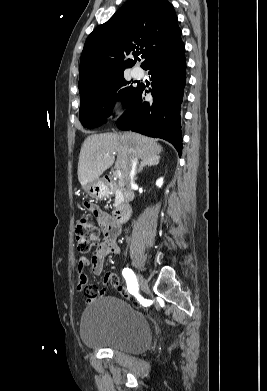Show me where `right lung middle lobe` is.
<instances>
[{"label": "right lung middle lobe", "instance_id": "1", "mask_svg": "<svg viewBox=\"0 0 267 391\" xmlns=\"http://www.w3.org/2000/svg\"><path fill=\"white\" fill-rule=\"evenodd\" d=\"M122 73L108 76L93 87L80 94L81 105L79 120L86 128H95L105 122L110 115L116 98H124L126 104L137 92L139 85L129 86ZM118 92V94H116Z\"/></svg>", "mask_w": 267, "mask_h": 391}]
</instances>
